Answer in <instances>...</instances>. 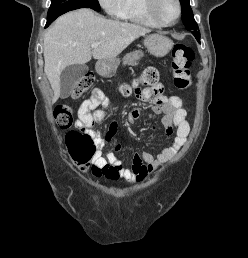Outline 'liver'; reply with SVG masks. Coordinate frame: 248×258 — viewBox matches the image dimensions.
<instances>
[{
	"mask_svg": "<svg viewBox=\"0 0 248 258\" xmlns=\"http://www.w3.org/2000/svg\"><path fill=\"white\" fill-rule=\"evenodd\" d=\"M150 29L139 25L109 20L82 8L60 16L44 37V72L54 92L60 96L61 72L70 65L116 58L135 39ZM99 43L97 48L91 44Z\"/></svg>",
	"mask_w": 248,
	"mask_h": 258,
	"instance_id": "6515ba94",
	"label": "liver"
}]
</instances>
